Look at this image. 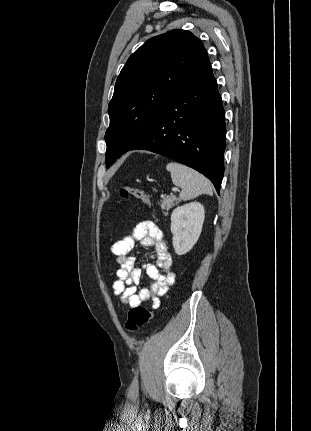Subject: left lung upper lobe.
Listing matches in <instances>:
<instances>
[{
  "label": "left lung upper lobe",
  "mask_w": 311,
  "mask_h": 431,
  "mask_svg": "<svg viewBox=\"0 0 311 431\" xmlns=\"http://www.w3.org/2000/svg\"><path fill=\"white\" fill-rule=\"evenodd\" d=\"M206 56L196 36L176 29L149 39L129 57L108 106V168L146 137L165 106Z\"/></svg>",
  "instance_id": "obj_1"
}]
</instances>
